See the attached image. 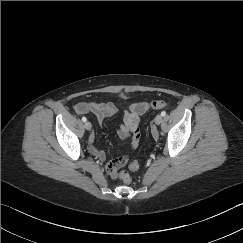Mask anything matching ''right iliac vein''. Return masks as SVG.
I'll use <instances>...</instances> for the list:
<instances>
[{"mask_svg":"<svg viewBox=\"0 0 243 243\" xmlns=\"http://www.w3.org/2000/svg\"><path fill=\"white\" fill-rule=\"evenodd\" d=\"M84 126L87 130H91L92 128V124L89 121H86Z\"/></svg>","mask_w":243,"mask_h":243,"instance_id":"1","label":"right iliac vein"}]
</instances>
